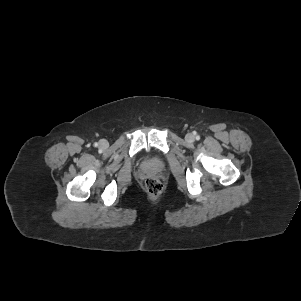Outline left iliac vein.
<instances>
[{"instance_id": "obj_1", "label": "left iliac vein", "mask_w": 301, "mask_h": 301, "mask_svg": "<svg viewBox=\"0 0 301 301\" xmlns=\"http://www.w3.org/2000/svg\"><path fill=\"white\" fill-rule=\"evenodd\" d=\"M185 139H186V141H188V142H193L195 138H194V135H193V134L188 133V134L185 136Z\"/></svg>"}]
</instances>
